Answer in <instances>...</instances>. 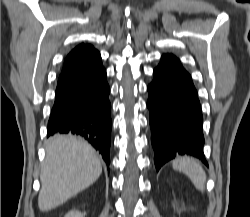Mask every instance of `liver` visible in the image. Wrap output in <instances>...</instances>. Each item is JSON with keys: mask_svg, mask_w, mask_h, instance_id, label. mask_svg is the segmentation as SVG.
<instances>
[{"mask_svg": "<svg viewBox=\"0 0 250 217\" xmlns=\"http://www.w3.org/2000/svg\"><path fill=\"white\" fill-rule=\"evenodd\" d=\"M38 206L49 211L93 184L102 173L95 150L84 140L56 135L46 142Z\"/></svg>", "mask_w": 250, "mask_h": 217, "instance_id": "1", "label": "liver"}]
</instances>
